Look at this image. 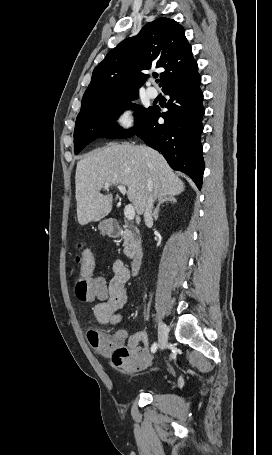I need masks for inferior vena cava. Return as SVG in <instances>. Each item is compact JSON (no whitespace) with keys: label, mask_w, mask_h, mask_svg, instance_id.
<instances>
[{"label":"inferior vena cava","mask_w":272,"mask_h":455,"mask_svg":"<svg viewBox=\"0 0 272 455\" xmlns=\"http://www.w3.org/2000/svg\"><path fill=\"white\" fill-rule=\"evenodd\" d=\"M153 202H154V198H153V195L151 194L148 197V200H147V203H146L145 209H144V221H145L146 224L152 222Z\"/></svg>","instance_id":"inferior-vena-cava-1"}]
</instances>
